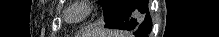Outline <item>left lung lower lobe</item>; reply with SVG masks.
I'll return each mask as SVG.
<instances>
[{"instance_id":"0a47b994","label":"left lung lower lobe","mask_w":219,"mask_h":37,"mask_svg":"<svg viewBox=\"0 0 219 37\" xmlns=\"http://www.w3.org/2000/svg\"><path fill=\"white\" fill-rule=\"evenodd\" d=\"M148 2V0H120L105 27L129 30L134 37H148L152 28Z\"/></svg>"}]
</instances>
